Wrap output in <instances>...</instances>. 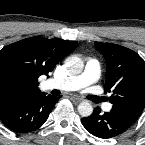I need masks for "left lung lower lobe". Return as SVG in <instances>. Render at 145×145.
Instances as JSON below:
<instances>
[{
  "label": "left lung lower lobe",
  "mask_w": 145,
  "mask_h": 145,
  "mask_svg": "<svg viewBox=\"0 0 145 145\" xmlns=\"http://www.w3.org/2000/svg\"><path fill=\"white\" fill-rule=\"evenodd\" d=\"M81 123L89 133L104 139L118 136L130 127L110 112L101 113L99 107L89 117L82 118Z\"/></svg>",
  "instance_id": "obj_1"
}]
</instances>
